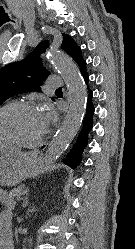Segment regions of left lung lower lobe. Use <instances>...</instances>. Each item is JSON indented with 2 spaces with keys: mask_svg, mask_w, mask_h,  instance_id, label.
I'll return each mask as SVG.
<instances>
[{
  "mask_svg": "<svg viewBox=\"0 0 135 249\" xmlns=\"http://www.w3.org/2000/svg\"><path fill=\"white\" fill-rule=\"evenodd\" d=\"M80 71L86 84H88L89 75L87 74V71H86V64L80 69ZM88 92H89V95H88L87 106H86V114L83 120V127L78 135L75 145L73 146V148L68 153L65 159V163L73 168L77 167L79 163L81 162L82 152L88 144V134L92 130V127H93V114H94V106L92 103L93 95H92L91 89H88Z\"/></svg>",
  "mask_w": 135,
  "mask_h": 249,
  "instance_id": "0a47b994",
  "label": "left lung lower lobe"
}]
</instances>
